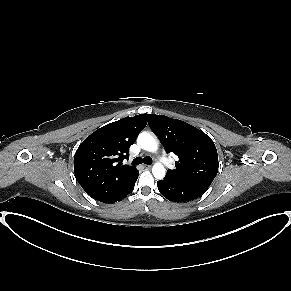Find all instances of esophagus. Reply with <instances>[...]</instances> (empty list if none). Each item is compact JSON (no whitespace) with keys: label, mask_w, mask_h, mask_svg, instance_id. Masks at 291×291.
<instances>
[{"label":"esophagus","mask_w":291,"mask_h":291,"mask_svg":"<svg viewBox=\"0 0 291 291\" xmlns=\"http://www.w3.org/2000/svg\"><path fill=\"white\" fill-rule=\"evenodd\" d=\"M144 167L146 168V169H151V165H144Z\"/></svg>","instance_id":"34e87169"}]
</instances>
